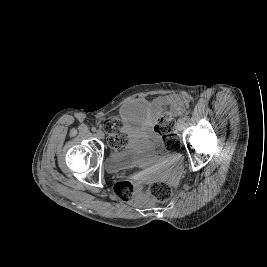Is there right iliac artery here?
Masks as SVG:
<instances>
[{
	"instance_id": "right-iliac-artery-1",
	"label": "right iliac artery",
	"mask_w": 267,
	"mask_h": 267,
	"mask_svg": "<svg viewBox=\"0 0 267 267\" xmlns=\"http://www.w3.org/2000/svg\"><path fill=\"white\" fill-rule=\"evenodd\" d=\"M92 131L95 132L96 131V127H92Z\"/></svg>"
}]
</instances>
